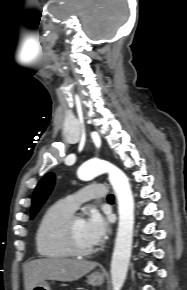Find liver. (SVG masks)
<instances>
[{
  "instance_id": "1",
  "label": "liver",
  "mask_w": 187,
  "mask_h": 290,
  "mask_svg": "<svg viewBox=\"0 0 187 290\" xmlns=\"http://www.w3.org/2000/svg\"><path fill=\"white\" fill-rule=\"evenodd\" d=\"M96 266V262L66 258H42L28 261L24 264L25 290H32L45 280H78Z\"/></svg>"
}]
</instances>
